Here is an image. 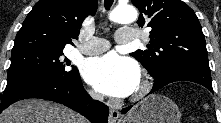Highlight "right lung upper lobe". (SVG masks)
Segmentation results:
<instances>
[{
    "label": "right lung upper lobe",
    "mask_w": 221,
    "mask_h": 123,
    "mask_svg": "<svg viewBox=\"0 0 221 123\" xmlns=\"http://www.w3.org/2000/svg\"><path fill=\"white\" fill-rule=\"evenodd\" d=\"M97 10V0H40L23 22L12 52L41 48L63 50L78 39L84 18Z\"/></svg>",
    "instance_id": "1"
}]
</instances>
